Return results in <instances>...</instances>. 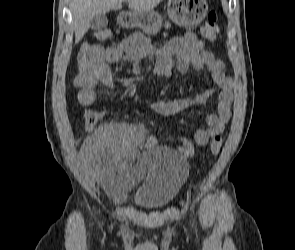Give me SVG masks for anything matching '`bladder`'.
I'll return each mask as SVG.
<instances>
[{
  "label": "bladder",
  "mask_w": 295,
  "mask_h": 250,
  "mask_svg": "<svg viewBox=\"0 0 295 250\" xmlns=\"http://www.w3.org/2000/svg\"><path fill=\"white\" fill-rule=\"evenodd\" d=\"M135 166H143L145 170L135 198L142 209L155 210L167 205L188 175L186 159L172 148L148 149Z\"/></svg>",
  "instance_id": "1"
}]
</instances>
